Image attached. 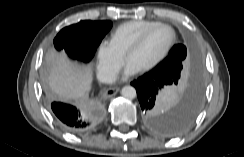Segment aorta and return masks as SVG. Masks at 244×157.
<instances>
[{"instance_id": "obj_1", "label": "aorta", "mask_w": 244, "mask_h": 157, "mask_svg": "<svg viewBox=\"0 0 244 157\" xmlns=\"http://www.w3.org/2000/svg\"><path fill=\"white\" fill-rule=\"evenodd\" d=\"M121 95L126 99H134L136 97V90L132 86H124L121 90Z\"/></svg>"}]
</instances>
